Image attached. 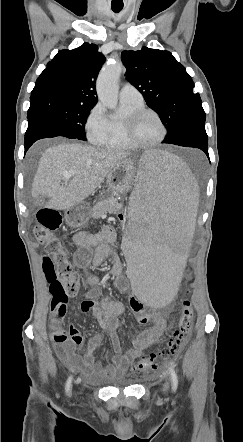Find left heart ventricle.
I'll use <instances>...</instances> for the list:
<instances>
[{"label": "left heart ventricle", "instance_id": "left-heart-ventricle-1", "mask_svg": "<svg viewBox=\"0 0 243 442\" xmlns=\"http://www.w3.org/2000/svg\"><path fill=\"white\" fill-rule=\"evenodd\" d=\"M160 123L152 114H146L136 124L134 137L136 141L144 144L153 143L161 136Z\"/></svg>", "mask_w": 243, "mask_h": 442}]
</instances>
